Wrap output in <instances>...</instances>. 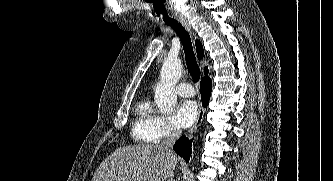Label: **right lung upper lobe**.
Wrapping results in <instances>:
<instances>
[{"label": "right lung upper lobe", "instance_id": "obj_1", "mask_svg": "<svg viewBox=\"0 0 333 181\" xmlns=\"http://www.w3.org/2000/svg\"><path fill=\"white\" fill-rule=\"evenodd\" d=\"M196 50H197L198 59H201L204 55V51H203V47H202L200 41H198V40H196ZM207 74H208V69L206 67L205 68V75H206L205 77H208Z\"/></svg>", "mask_w": 333, "mask_h": 181}]
</instances>
